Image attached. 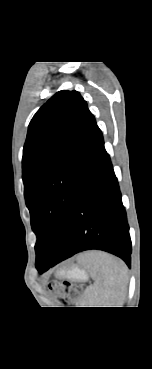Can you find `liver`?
I'll list each match as a JSON object with an SVG mask.
<instances>
[{
  "mask_svg": "<svg viewBox=\"0 0 152 369\" xmlns=\"http://www.w3.org/2000/svg\"><path fill=\"white\" fill-rule=\"evenodd\" d=\"M87 256H88V254H85V255H84V258H87Z\"/></svg>",
  "mask_w": 152,
  "mask_h": 369,
  "instance_id": "obj_1",
  "label": "liver"
}]
</instances>
